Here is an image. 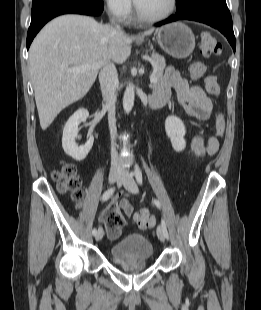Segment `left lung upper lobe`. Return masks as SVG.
Segmentation results:
<instances>
[{"mask_svg":"<svg viewBox=\"0 0 261 310\" xmlns=\"http://www.w3.org/2000/svg\"><path fill=\"white\" fill-rule=\"evenodd\" d=\"M199 0H176L178 12H183L192 8Z\"/></svg>","mask_w":261,"mask_h":310,"instance_id":"5c2ea615","label":"left lung upper lobe"}]
</instances>
